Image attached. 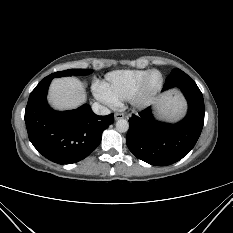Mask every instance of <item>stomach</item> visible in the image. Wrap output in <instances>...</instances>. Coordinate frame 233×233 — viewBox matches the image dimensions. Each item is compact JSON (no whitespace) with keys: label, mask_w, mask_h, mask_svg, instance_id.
Listing matches in <instances>:
<instances>
[{"label":"stomach","mask_w":233,"mask_h":233,"mask_svg":"<svg viewBox=\"0 0 233 233\" xmlns=\"http://www.w3.org/2000/svg\"><path fill=\"white\" fill-rule=\"evenodd\" d=\"M184 108V103L175 92L164 94L158 102L160 114L170 120L178 118L183 113Z\"/></svg>","instance_id":"0dacf381"}]
</instances>
